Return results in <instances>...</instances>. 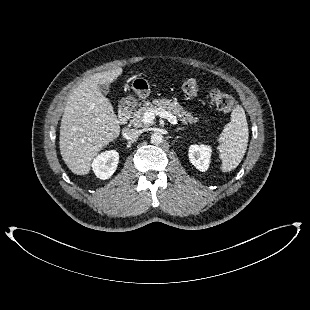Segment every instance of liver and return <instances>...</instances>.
I'll use <instances>...</instances> for the list:
<instances>
[{"label": "liver", "instance_id": "1", "mask_svg": "<svg viewBox=\"0 0 310 310\" xmlns=\"http://www.w3.org/2000/svg\"><path fill=\"white\" fill-rule=\"evenodd\" d=\"M121 67L86 78L69 95L60 125L59 148L68 168L77 175L90 172L93 158L120 134V124L99 84L114 82Z\"/></svg>", "mask_w": 310, "mask_h": 310}]
</instances>
